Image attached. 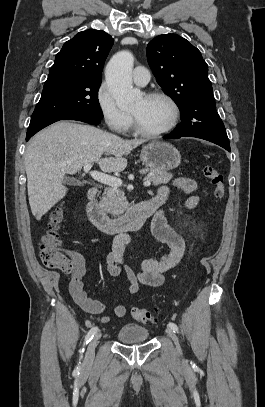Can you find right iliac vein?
Instances as JSON below:
<instances>
[{
	"label": "right iliac vein",
	"instance_id": "right-iliac-vein-1",
	"mask_svg": "<svg viewBox=\"0 0 265 407\" xmlns=\"http://www.w3.org/2000/svg\"><path fill=\"white\" fill-rule=\"evenodd\" d=\"M100 337H101V333L96 334L87 347V351H86V355H85V363L88 365L91 364L94 359L95 348L97 346V343H98V340Z\"/></svg>",
	"mask_w": 265,
	"mask_h": 407
}]
</instances>
